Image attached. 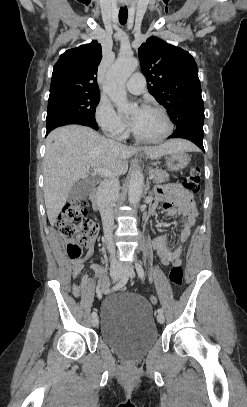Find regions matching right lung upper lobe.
<instances>
[{
  "mask_svg": "<svg viewBox=\"0 0 247 407\" xmlns=\"http://www.w3.org/2000/svg\"><path fill=\"white\" fill-rule=\"evenodd\" d=\"M101 54L97 41L62 54L53 68L50 94L61 91L99 93L97 69Z\"/></svg>",
  "mask_w": 247,
  "mask_h": 407,
  "instance_id": "1",
  "label": "right lung upper lobe"
}]
</instances>
